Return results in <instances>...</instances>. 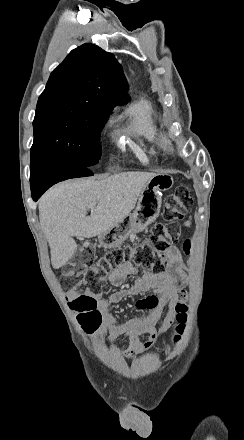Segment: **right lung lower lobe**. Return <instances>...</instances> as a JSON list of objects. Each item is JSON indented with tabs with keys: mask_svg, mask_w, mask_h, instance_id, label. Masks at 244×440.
Here are the masks:
<instances>
[{
	"mask_svg": "<svg viewBox=\"0 0 244 440\" xmlns=\"http://www.w3.org/2000/svg\"><path fill=\"white\" fill-rule=\"evenodd\" d=\"M92 175L90 167L61 160H37L30 166L32 198L37 201L48 188L60 181Z\"/></svg>",
	"mask_w": 244,
	"mask_h": 440,
	"instance_id": "right-lung-lower-lobe-1",
	"label": "right lung lower lobe"
}]
</instances>
